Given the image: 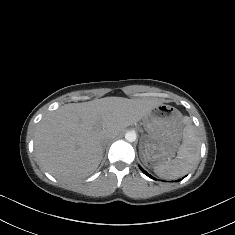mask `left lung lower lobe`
Segmentation results:
<instances>
[{"label":"left lung lower lobe","mask_w":235,"mask_h":235,"mask_svg":"<svg viewBox=\"0 0 235 235\" xmlns=\"http://www.w3.org/2000/svg\"><path fill=\"white\" fill-rule=\"evenodd\" d=\"M140 169L143 171V173L144 174H146L147 176H149V177H151L152 178V176L151 175H149L142 167H140Z\"/></svg>","instance_id":"obj_1"}]
</instances>
